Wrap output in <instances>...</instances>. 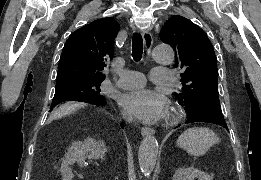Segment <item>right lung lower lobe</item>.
<instances>
[{
  "mask_svg": "<svg viewBox=\"0 0 261 180\" xmlns=\"http://www.w3.org/2000/svg\"><path fill=\"white\" fill-rule=\"evenodd\" d=\"M105 103H106V102L103 101V102H100V103H96L95 105H102V106H103V105H105ZM121 126L124 127L123 123H121Z\"/></svg>",
  "mask_w": 261,
  "mask_h": 180,
  "instance_id": "obj_1",
  "label": "right lung lower lobe"
}]
</instances>
